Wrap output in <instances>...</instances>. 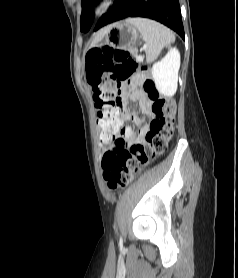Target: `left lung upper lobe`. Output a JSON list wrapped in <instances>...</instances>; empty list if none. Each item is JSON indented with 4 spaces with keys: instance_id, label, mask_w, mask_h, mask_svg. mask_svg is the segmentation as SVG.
<instances>
[{
    "instance_id": "1",
    "label": "left lung upper lobe",
    "mask_w": 238,
    "mask_h": 278,
    "mask_svg": "<svg viewBox=\"0 0 238 278\" xmlns=\"http://www.w3.org/2000/svg\"><path fill=\"white\" fill-rule=\"evenodd\" d=\"M94 2L95 0H82L81 2L82 14L80 18V29L83 32H87L92 25L93 16L90 13Z\"/></svg>"
}]
</instances>
